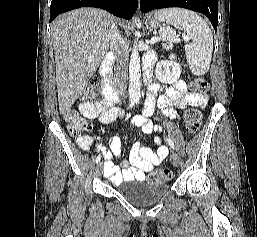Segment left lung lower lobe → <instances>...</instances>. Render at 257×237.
Segmentation results:
<instances>
[{"label":"left lung lower lobe","instance_id":"1","mask_svg":"<svg viewBox=\"0 0 257 237\" xmlns=\"http://www.w3.org/2000/svg\"><path fill=\"white\" fill-rule=\"evenodd\" d=\"M168 7H181L203 13L211 21L215 32L217 31V0H140V9L143 13Z\"/></svg>","mask_w":257,"mask_h":237}]
</instances>
